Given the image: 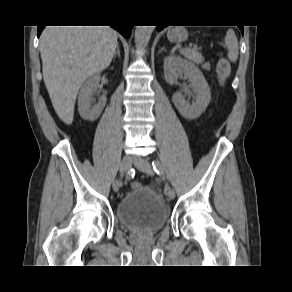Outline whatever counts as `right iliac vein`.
Here are the masks:
<instances>
[{"label":"right iliac vein","mask_w":292,"mask_h":292,"mask_svg":"<svg viewBox=\"0 0 292 292\" xmlns=\"http://www.w3.org/2000/svg\"><path fill=\"white\" fill-rule=\"evenodd\" d=\"M131 165H132V158L131 156H124L122 158V161H121V164H120V172L121 173H125L127 172L130 168H131ZM122 185V182H117V180H115L113 182V190L114 191H118L119 188L121 187Z\"/></svg>","instance_id":"1"}]
</instances>
